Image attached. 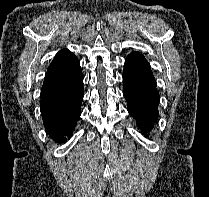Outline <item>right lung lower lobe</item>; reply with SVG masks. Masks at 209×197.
<instances>
[{
  "mask_svg": "<svg viewBox=\"0 0 209 197\" xmlns=\"http://www.w3.org/2000/svg\"><path fill=\"white\" fill-rule=\"evenodd\" d=\"M40 97L46 132L57 142L71 137L83 98V75L73 53L48 68Z\"/></svg>",
  "mask_w": 209,
  "mask_h": 197,
  "instance_id": "98d812e1",
  "label": "right lung lower lobe"
}]
</instances>
